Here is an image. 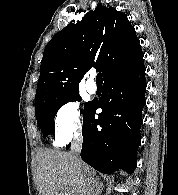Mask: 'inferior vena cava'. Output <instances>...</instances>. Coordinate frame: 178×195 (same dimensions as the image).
<instances>
[{
    "label": "inferior vena cava",
    "instance_id": "602c4592",
    "mask_svg": "<svg viewBox=\"0 0 178 195\" xmlns=\"http://www.w3.org/2000/svg\"><path fill=\"white\" fill-rule=\"evenodd\" d=\"M82 147V140L80 138H76L73 145H72V152L75 156L77 164L80 166L82 161L80 158V151ZM93 195H98V188L95 187L93 190Z\"/></svg>",
    "mask_w": 178,
    "mask_h": 195
}]
</instances>
